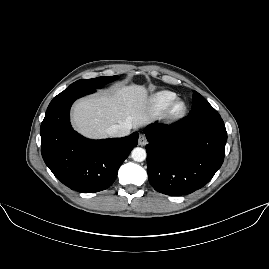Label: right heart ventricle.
Wrapping results in <instances>:
<instances>
[{"label": "right heart ventricle", "mask_w": 269, "mask_h": 269, "mask_svg": "<svg viewBox=\"0 0 269 269\" xmlns=\"http://www.w3.org/2000/svg\"><path fill=\"white\" fill-rule=\"evenodd\" d=\"M176 99L177 95L171 91H159L152 96L150 102L156 111H165Z\"/></svg>", "instance_id": "right-heart-ventricle-1"}]
</instances>
